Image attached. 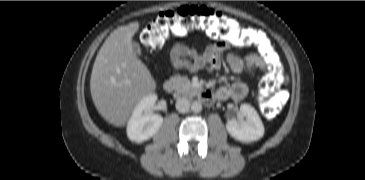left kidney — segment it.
Masks as SVG:
<instances>
[{
  "mask_svg": "<svg viewBox=\"0 0 365 180\" xmlns=\"http://www.w3.org/2000/svg\"><path fill=\"white\" fill-rule=\"evenodd\" d=\"M240 115L245 117L246 121L229 120L226 123L228 133L241 142L248 143L261 139L264 135V126L256 110L248 104H242Z\"/></svg>",
  "mask_w": 365,
  "mask_h": 180,
  "instance_id": "1",
  "label": "left kidney"
}]
</instances>
